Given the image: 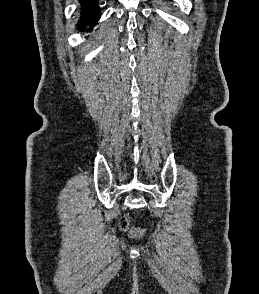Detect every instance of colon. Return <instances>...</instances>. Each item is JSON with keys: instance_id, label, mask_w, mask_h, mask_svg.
<instances>
[{"instance_id": "5ec220e1", "label": "colon", "mask_w": 259, "mask_h": 294, "mask_svg": "<svg viewBox=\"0 0 259 294\" xmlns=\"http://www.w3.org/2000/svg\"><path fill=\"white\" fill-rule=\"evenodd\" d=\"M119 226L121 230L128 232L133 238H138L143 234V230L141 228L130 227L129 221L126 217L121 219Z\"/></svg>"}]
</instances>
